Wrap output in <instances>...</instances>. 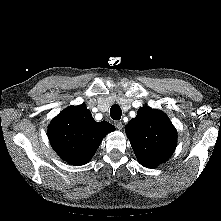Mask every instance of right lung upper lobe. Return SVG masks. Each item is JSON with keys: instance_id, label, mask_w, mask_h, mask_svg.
Returning <instances> with one entry per match:
<instances>
[{"instance_id": "right-lung-upper-lobe-1", "label": "right lung upper lobe", "mask_w": 221, "mask_h": 221, "mask_svg": "<svg viewBox=\"0 0 221 221\" xmlns=\"http://www.w3.org/2000/svg\"><path fill=\"white\" fill-rule=\"evenodd\" d=\"M115 130L107 121L96 122L82 104L63 110L49 125L53 149L66 162L83 165L89 162L106 134Z\"/></svg>"}]
</instances>
